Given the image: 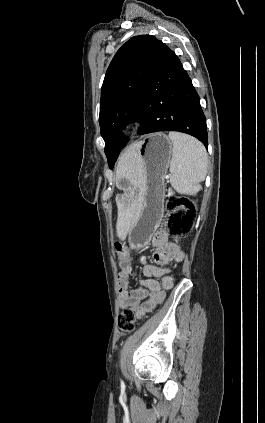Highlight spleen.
Here are the masks:
<instances>
[{"mask_svg": "<svg viewBox=\"0 0 265 423\" xmlns=\"http://www.w3.org/2000/svg\"><path fill=\"white\" fill-rule=\"evenodd\" d=\"M173 150L170 183L180 194L195 195L207 174L208 155L204 145L188 135L170 132Z\"/></svg>", "mask_w": 265, "mask_h": 423, "instance_id": "1", "label": "spleen"}]
</instances>
